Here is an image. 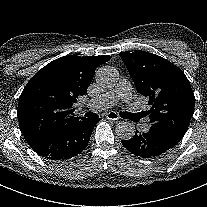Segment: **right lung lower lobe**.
Here are the masks:
<instances>
[{
	"label": "right lung lower lobe",
	"instance_id": "obj_1",
	"mask_svg": "<svg viewBox=\"0 0 207 207\" xmlns=\"http://www.w3.org/2000/svg\"><path fill=\"white\" fill-rule=\"evenodd\" d=\"M100 119L74 117L54 135L46 138L32 149L51 161H64L80 154L88 145L92 131Z\"/></svg>",
	"mask_w": 207,
	"mask_h": 207
}]
</instances>
